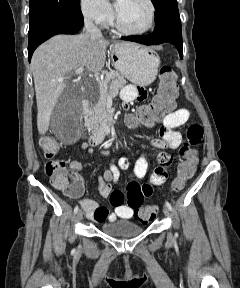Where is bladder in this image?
<instances>
[{
    "mask_svg": "<svg viewBox=\"0 0 240 288\" xmlns=\"http://www.w3.org/2000/svg\"><path fill=\"white\" fill-rule=\"evenodd\" d=\"M101 231L113 237H133L143 232V227L130 220H116L104 224Z\"/></svg>",
    "mask_w": 240,
    "mask_h": 288,
    "instance_id": "1",
    "label": "bladder"
}]
</instances>
